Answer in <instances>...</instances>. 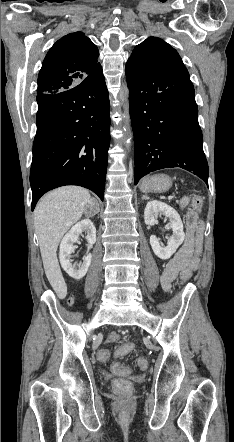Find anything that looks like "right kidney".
Here are the masks:
<instances>
[{"label":"right kidney","mask_w":234,"mask_h":442,"mask_svg":"<svg viewBox=\"0 0 234 442\" xmlns=\"http://www.w3.org/2000/svg\"><path fill=\"white\" fill-rule=\"evenodd\" d=\"M83 231L87 233L86 239L89 245H93L96 242V228L89 218L83 219L72 226L60 244L59 258L61 266L75 280H80L86 275L92 259V255L89 253L84 256L83 263L78 267L72 264L71 254L76 248L73 244L78 241V237Z\"/></svg>","instance_id":"obj_1"}]
</instances>
